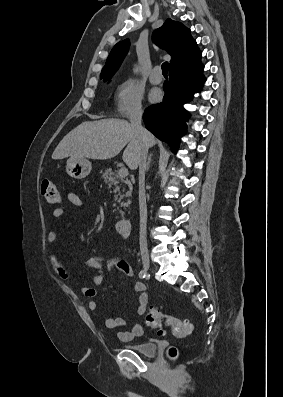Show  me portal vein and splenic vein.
I'll list each match as a JSON object with an SVG mask.
<instances>
[{
    "label": "portal vein and splenic vein",
    "instance_id": "obj_1",
    "mask_svg": "<svg viewBox=\"0 0 283 397\" xmlns=\"http://www.w3.org/2000/svg\"><path fill=\"white\" fill-rule=\"evenodd\" d=\"M118 175L120 177H126L128 175V170L125 167L120 168V170L118 171Z\"/></svg>",
    "mask_w": 283,
    "mask_h": 397
}]
</instances>
